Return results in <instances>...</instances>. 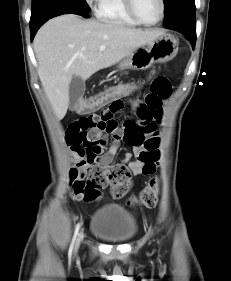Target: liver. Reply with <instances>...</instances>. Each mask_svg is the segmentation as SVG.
Here are the masks:
<instances>
[{
    "instance_id": "6515ba94",
    "label": "liver",
    "mask_w": 231,
    "mask_h": 281,
    "mask_svg": "<svg viewBox=\"0 0 231 281\" xmlns=\"http://www.w3.org/2000/svg\"><path fill=\"white\" fill-rule=\"evenodd\" d=\"M163 34L118 22L82 20L75 14L47 21L35 36L34 52L39 79L57 119L66 115L73 76L86 80ZM101 45L104 51L99 50Z\"/></svg>"
}]
</instances>
